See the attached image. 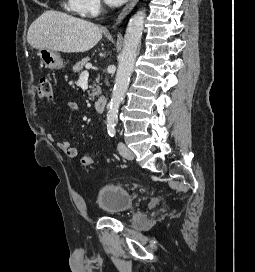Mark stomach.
<instances>
[{
    "label": "stomach",
    "mask_w": 255,
    "mask_h": 272,
    "mask_svg": "<svg viewBox=\"0 0 255 272\" xmlns=\"http://www.w3.org/2000/svg\"><path fill=\"white\" fill-rule=\"evenodd\" d=\"M38 56L48 69H61L63 67V60L57 51L45 48L39 49Z\"/></svg>",
    "instance_id": "obj_1"
}]
</instances>
